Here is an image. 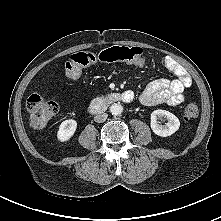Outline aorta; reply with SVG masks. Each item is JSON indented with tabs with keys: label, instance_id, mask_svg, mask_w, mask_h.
Masks as SVG:
<instances>
[{
	"label": "aorta",
	"instance_id": "1",
	"mask_svg": "<svg viewBox=\"0 0 221 221\" xmlns=\"http://www.w3.org/2000/svg\"><path fill=\"white\" fill-rule=\"evenodd\" d=\"M110 112L112 115H119L123 112V107L119 103H114L110 106Z\"/></svg>",
	"mask_w": 221,
	"mask_h": 221
}]
</instances>
